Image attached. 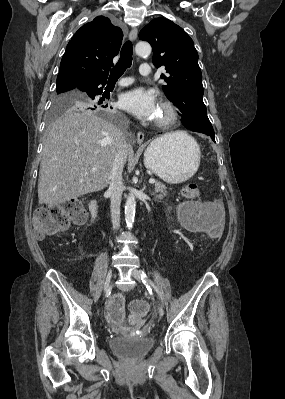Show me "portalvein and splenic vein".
I'll list each match as a JSON object with an SVG mask.
<instances>
[{"label": "portal vein and splenic vein", "mask_w": 285, "mask_h": 399, "mask_svg": "<svg viewBox=\"0 0 285 399\" xmlns=\"http://www.w3.org/2000/svg\"><path fill=\"white\" fill-rule=\"evenodd\" d=\"M92 171L93 172L97 171V168H92ZM149 183L154 184V183H156V181H155V179H149Z\"/></svg>", "instance_id": "18ae733b"}]
</instances>
